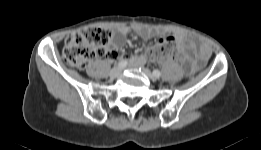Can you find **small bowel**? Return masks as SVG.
<instances>
[{"label":"small bowel","mask_w":261,"mask_h":150,"mask_svg":"<svg viewBox=\"0 0 261 150\" xmlns=\"http://www.w3.org/2000/svg\"><path fill=\"white\" fill-rule=\"evenodd\" d=\"M130 29L128 27H120L116 30L113 40L111 42V51H107L106 58L109 61H114L120 57V49L123 45L125 37L129 34ZM134 33L142 38L149 39L155 36L156 32L150 28L135 27L133 28ZM179 47L184 50L191 51L194 54V57L188 59L184 65V69L188 74L193 73L198 68H200L209 56V50L203 44L196 43L194 41H189L183 36H177L175 38ZM127 59L135 66L143 65L147 57L145 55H135L128 56L125 55Z\"/></svg>","instance_id":"small-bowel-1"}]
</instances>
